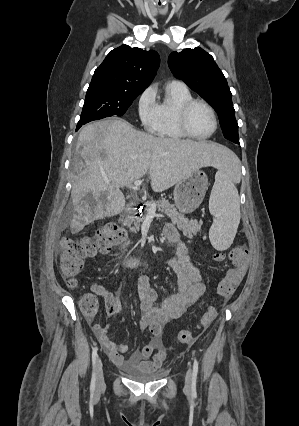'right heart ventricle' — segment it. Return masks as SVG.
<instances>
[{
  "label": "right heart ventricle",
  "instance_id": "right-heart-ventricle-1",
  "mask_svg": "<svg viewBox=\"0 0 299 426\" xmlns=\"http://www.w3.org/2000/svg\"><path fill=\"white\" fill-rule=\"evenodd\" d=\"M193 96L188 87L179 82L166 85L162 99L157 103L158 119L154 130L160 138L180 140L186 138L178 124L181 106Z\"/></svg>",
  "mask_w": 299,
  "mask_h": 426
}]
</instances>
